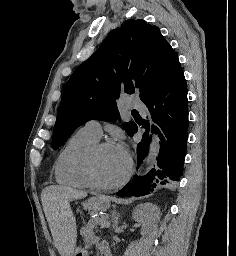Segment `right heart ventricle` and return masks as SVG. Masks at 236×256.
<instances>
[{"instance_id":"e07e8e85","label":"right heart ventricle","mask_w":236,"mask_h":256,"mask_svg":"<svg viewBox=\"0 0 236 256\" xmlns=\"http://www.w3.org/2000/svg\"><path fill=\"white\" fill-rule=\"evenodd\" d=\"M98 140L78 130L67 142L55 162V179L57 183L78 189L91 188L87 178V160Z\"/></svg>"}]
</instances>
